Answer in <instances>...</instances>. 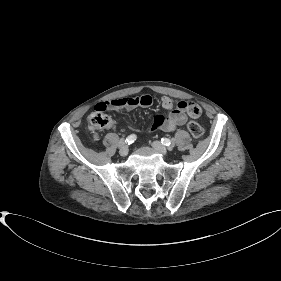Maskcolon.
<instances>
[{"label":"colon","mask_w":281,"mask_h":281,"mask_svg":"<svg viewBox=\"0 0 281 281\" xmlns=\"http://www.w3.org/2000/svg\"><path fill=\"white\" fill-rule=\"evenodd\" d=\"M194 113H198V108H190ZM113 121L109 115L104 113V110H95L92 112L88 119V129L91 132L92 139L97 141L100 132L111 128ZM187 128L194 139H200L203 136L204 130L202 126L196 121H189Z\"/></svg>","instance_id":"colon-1"}]
</instances>
